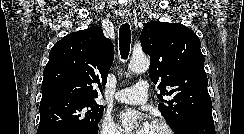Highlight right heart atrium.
Returning a JSON list of instances; mask_svg holds the SVG:
<instances>
[{"label":"right heart atrium","instance_id":"right-heart-atrium-1","mask_svg":"<svg viewBox=\"0 0 244 134\" xmlns=\"http://www.w3.org/2000/svg\"><path fill=\"white\" fill-rule=\"evenodd\" d=\"M98 134H123L110 116H104L100 121Z\"/></svg>","mask_w":244,"mask_h":134}]
</instances>
